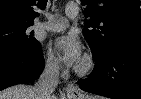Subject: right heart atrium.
Instances as JSON below:
<instances>
[{
    "instance_id": "right-heart-atrium-1",
    "label": "right heart atrium",
    "mask_w": 141,
    "mask_h": 99,
    "mask_svg": "<svg viewBox=\"0 0 141 99\" xmlns=\"http://www.w3.org/2000/svg\"><path fill=\"white\" fill-rule=\"evenodd\" d=\"M44 69L51 75H56L60 71V63L51 52H47V54L45 55Z\"/></svg>"
}]
</instances>
